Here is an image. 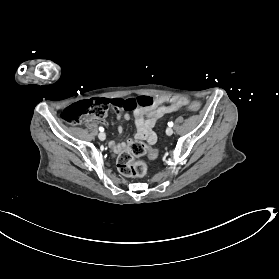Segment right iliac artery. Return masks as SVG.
Instances as JSON below:
<instances>
[{
  "label": "right iliac artery",
  "mask_w": 279,
  "mask_h": 279,
  "mask_svg": "<svg viewBox=\"0 0 279 279\" xmlns=\"http://www.w3.org/2000/svg\"><path fill=\"white\" fill-rule=\"evenodd\" d=\"M99 130H100L101 132H103V131H104V128H103V127H99Z\"/></svg>",
  "instance_id": "82829eb1"
}]
</instances>
